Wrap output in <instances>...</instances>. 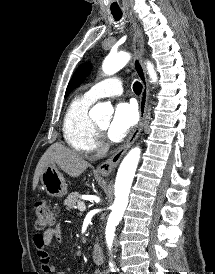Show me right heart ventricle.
Masks as SVG:
<instances>
[{
    "label": "right heart ventricle",
    "mask_w": 215,
    "mask_h": 274,
    "mask_svg": "<svg viewBox=\"0 0 215 274\" xmlns=\"http://www.w3.org/2000/svg\"><path fill=\"white\" fill-rule=\"evenodd\" d=\"M93 102L86 95L76 96L70 102L63 119L64 139L73 150L80 153H89L94 149L97 130L89 116Z\"/></svg>",
    "instance_id": "1"
}]
</instances>
